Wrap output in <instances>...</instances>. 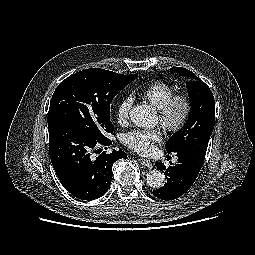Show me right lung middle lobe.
<instances>
[{
  "label": "right lung middle lobe",
  "mask_w": 255,
  "mask_h": 255,
  "mask_svg": "<svg viewBox=\"0 0 255 255\" xmlns=\"http://www.w3.org/2000/svg\"><path fill=\"white\" fill-rule=\"evenodd\" d=\"M137 76L100 68L70 75L58 85L51 98L48 128L62 123L89 137L105 139L114 129L110 121L113 98Z\"/></svg>",
  "instance_id": "right-lung-middle-lobe-1"
}]
</instances>
